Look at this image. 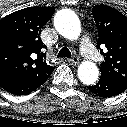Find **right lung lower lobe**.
Instances as JSON below:
<instances>
[{"label": "right lung lower lobe", "mask_w": 127, "mask_h": 127, "mask_svg": "<svg viewBox=\"0 0 127 127\" xmlns=\"http://www.w3.org/2000/svg\"><path fill=\"white\" fill-rule=\"evenodd\" d=\"M52 71L37 77L32 75H15L2 78L0 80V87L15 95H26L44 84Z\"/></svg>", "instance_id": "right-lung-lower-lobe-1"}]
</instances>
